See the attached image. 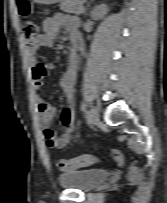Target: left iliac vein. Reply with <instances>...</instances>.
Here are the masks:
<instances>
[{
    "mask_svg": "<svg viewBox=\"0 0 167 203\" xmlns=\"http://www.w3.org/2000/svg\"><path fill=\"white\" fill-rule=\"evenodd\" d=\"M87 118L91 124H96L99 122V113L95 108H91L87 113Z\"/></svg>",
    "mask_w": 167,
    "mask_h": 203,
    "instance_id": "1",
    "label": "left iliac vein"
}]
</instances>
